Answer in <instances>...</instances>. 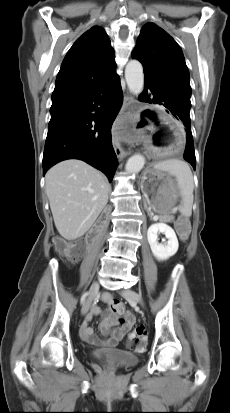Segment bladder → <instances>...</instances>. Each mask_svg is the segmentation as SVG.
Returning <instances> with one entry per match:
<instances>
[{
    "label": "bladder",
    "mask_w": 230,
    "mask_h": 413,
    "mask_svg": "<svg viewBox=\"0 0 230 413\" xmlns=\"http://www.w3.org/2000/svg\"><path fill=\"white\" fill-rule=\"evenodd\" d=\"M92 356L98 361L109 359V362L115 368H128L137 365L139 362L138 356L118 350H99L93 352Z\"/></svg>",
    "instance_id": "31cf9c89"
}]
</instances>
